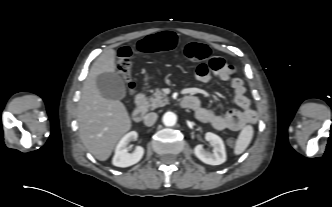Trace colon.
I'll return each instance as SVG.
<instances>
[{"instance_id":"1","label":"colon","mask_w":332,"mask_h":207,"mask_svg":"<svg viewBox=\"0 0 332 207\" xmlns=\"http://www.w3.org/2000/svg\"><path fill=\"white\" fill-rule=\"evenodd\" d=\"M179 44V39L172 33H162L156 36H149L141 40L137 49L140 52H157V51H169L175 48ZM185 55L192 61H203L208 58L212 59L217 56L213 55L212 51L205 44L197 42H189L184 48ZM117 69L122 74L127 82V86L130 92L134 89L131 76V49L128 46L121 47L117 52ZM229 144L233 143L232 139H228Z\"/></svg>"}]
</instances>
